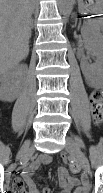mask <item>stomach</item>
Segmentation results:
<instances>
[{"label": "stomach", "instance_id": "0dacf381", "mask_svg": "<svg viewBox=\"0 0 103 193\" xmlns=\"http://www.w3.org/2000/svg\"><path fill=\"white\" fill-rule=\"evenodd\" d=\"M103 8V0H78V9L81 13H99Z\"/></svg>", "mask_w": 103, "mask_h": 193}]
</instances>
